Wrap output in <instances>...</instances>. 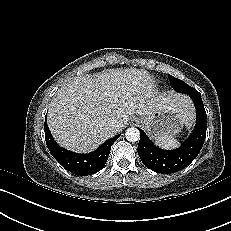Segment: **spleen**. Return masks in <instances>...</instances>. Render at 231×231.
Instances as JSON below:
<instances>
[{
  "mask_svg": "<svg viewBox=\"0 0 231 231\" xmlns=\"http://www.w3.org/2000/svg\"><path fill=\"white\" fill-rule=\"evenodd\" d=\"M155 144L163 149H175L179 146L178 140L172 135H164L157 138Z\"/></svg>",
  "mask_w": 231,
  "mask_h": 231,
  "instance_id": "3e777b00",
  "label": "spleen"
}]
</instances>
